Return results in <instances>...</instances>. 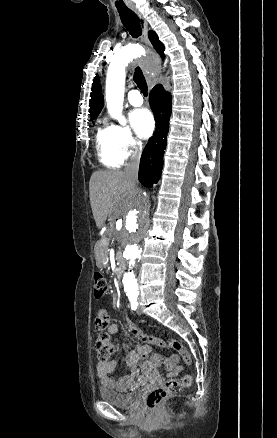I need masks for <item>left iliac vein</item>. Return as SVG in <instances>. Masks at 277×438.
<instances>
[{
  "label": "left iliac vein",
  "instance_id": "left-iliac-vein-1",
  "mask_svg": "<svg viewBox=\"0 0 277 438\" xmlns=\"http://www.w3.org/2000/svg\"><path fill=\"white\" fill-rule=\"evenodd\" d=\"M137 313H138V314H141V313H142V309H141L140 306L137 308Z\"/></svg>",
  "mask_w": 277,
  "mask_h": 438
}]
</instances>
